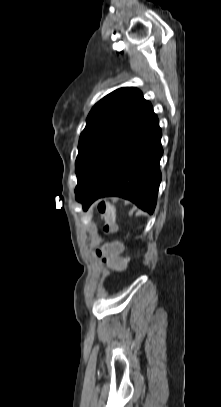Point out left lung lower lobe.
<instances>
[{
  "label": "left lung lower lobe",
  "mask_w": 221,
  "mask_h": 407,
  "mask_svg": "<svg viewBox=\"0 0 221 407\" xmlns=\"http://www.w3.org/2000/svg\"><path fill=\"white\" fill-rule=\"evenodd\" d=\"M161 136L158 118L147 101L76 192L83 209L100 197L119 196L152 213L161 181Z\"/></svg>",
  "instance_id": "obj_1"
}]
</instances>
